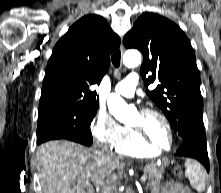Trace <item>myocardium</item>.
I'll use <instances>...</instances> for the list:
<instances>
[{
  "instance_id": "1",
  "label": "myocardium",
  "mask_w": 221,
  "mask_h": 193,
  "mask_svg": "<svg viewBox=\"0 0 221 193\" xmlns=\"http://www.w3.org/2000/svg\"><path fill=\"white\" fill-rule=\"evenodd\" d=\"M139 113L142 116L145 115H155L157 117H159L165 124V126L168 129L169 132V136H170V145L168 148H162L159 147L158 145H156L154 142H152L149 137L147 136L146 132L144 131V129L142 127H137V126H129V129L131 130V132L133 133V135L145 146H147L148 148L154 150L157 153H164V152H168L170 151L175 143V135H174V130L173 127L169 121V119L167 118V116L161 112L158 109L155 108H151V107H145L143 109H141L139 111Z\"/></svg>"
}]
</instances>
